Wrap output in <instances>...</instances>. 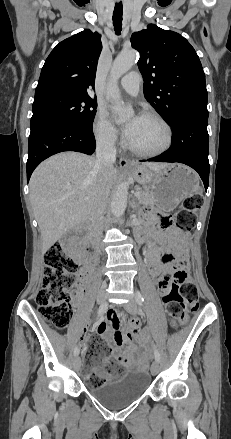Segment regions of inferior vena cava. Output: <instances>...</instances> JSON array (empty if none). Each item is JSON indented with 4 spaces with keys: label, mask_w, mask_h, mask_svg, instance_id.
<instances>
[{
    "label": "inferior vena cava",
    "mask_w": 231,
    "mask_h": 439,
    "mask_svg": "<svg viewBox=\"0 0 231 439\" xmlns=\"http://www.w3.org/2000/svg\"><path fill=\"white\" fill-rule=\"evenodd\" d=\"M116 161V148L111 139H100L96 146V162L94 168L100 173L99 186L91 210L92 226L96 238H100L103 230V213L105 211L110 188L108 185V172Z\"/></svg>",
    "instance_id": "obj_1"
}]
</instances>
